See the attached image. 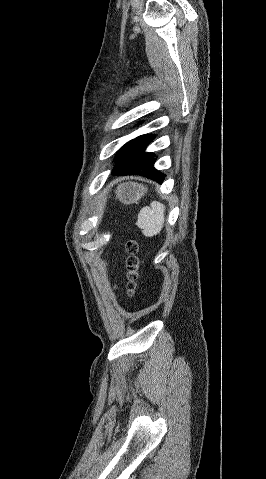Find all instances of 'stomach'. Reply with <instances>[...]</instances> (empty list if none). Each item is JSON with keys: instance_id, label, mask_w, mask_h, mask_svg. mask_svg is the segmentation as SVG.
<instances>
[{"instance_id": "1", "label": "stomach", "mask_w": 266, "mask_h": 479, "mask_svg": "<svg viewBox=\"0 0 266 479\" xmlns=\"http://www.w3.org/2000/svg\"><path fill=\"white\" fill-rule=\"evenodd\" d=\"M147 191V188L138 183H126L117 187V195L124 203L137 202Z\"/></svg>"}]
</instances>
